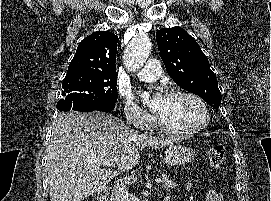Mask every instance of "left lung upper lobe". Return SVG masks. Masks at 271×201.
I'll return each instance as SVG.
<instances>
[{
  "instance_id": "1",
  "label": "left lung upper lobe",
  "mask_w": 271,
  "mask_h": 201,
  "mask_svg": "<svg viewBox=\"0 0 271 201\" xmlns=\"http://www.w3.org/2000/svg\"><path fill=\"white\" fill-rule=\"evenodd\" d=\"M156 40L167 73L174 82L218 110L222 100L218 82L198 43L178 26L160 29Z\"/></svg>"
}]
</instances>
